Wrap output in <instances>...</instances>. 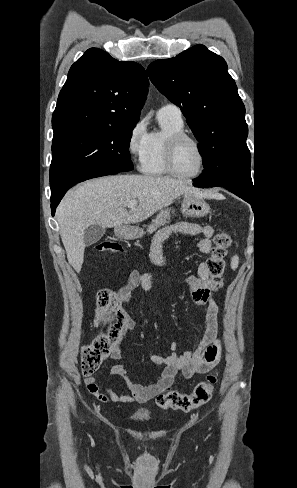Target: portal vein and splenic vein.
<instances>
[{"mask_svg": "<svg viewBox=\"0 0 297 488\" xmlns=\"http://www.w3.org/2000/svg\"><path fill=\"white\" fill-rule=\"evenodd\" d=\"M137 205V201L136 200H132L129 204H128V207L129 208H132V207H135Z\"/></svg>", "mask_w": 297, "mask_h": 488, "instance_id": "obj_1", "label": "portal vein and splenic vein"}]
</instances>
